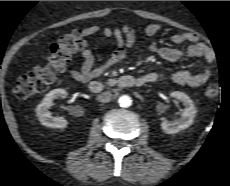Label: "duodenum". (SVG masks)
Masks as SVG:
<instances>
[{
  "mask_svg": "<svg viewBox=\"0 0 230 186\" xmlns=\"http://www.w3.org/2000/svg\"><path fill=\"white\" fill-rule=\"evenodd\" d=\"M145 83L142 77H134L132 75H124L115 81V86L119 88L140 87ZM89 90L93 93H101L106 89L105 83L99 80H92L88 84Z\"/></svg>",
  "mask_w": 230,
  "mask_h": 186,
  "instance_id": "duodenum-1",
  "label": "duodenum"
}]
</instances>
